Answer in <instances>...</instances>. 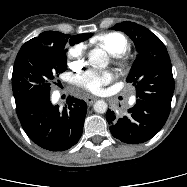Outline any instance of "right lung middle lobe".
Wrapping results in <instances>:
<instances>
[{
	"instance_id": "1",
	"label": "right lung middle lobe",
	"mask_w": 187,
	"mask_h": 187,
	"mask_svg": "<svg viewBox=\"0 0 187 187\" xmlns=\"http://www.w3.org/2000/svg\"><path fill=\"white\" fill-rule=\"evenodd\" d=\"M73 46V43H68ZM66 46L26 42L15 59L12 88L15 103L50 93L52 80L67 68Z\"/></svg>"
}]
</instances>
